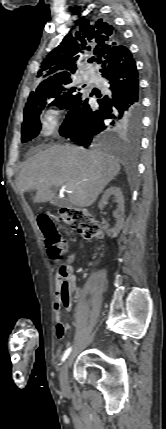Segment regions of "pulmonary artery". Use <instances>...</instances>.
<instances>
[{
	"label": "pulmonary artery",
	"mask_w": 166,
	"mask_h": 429,
	"mask_svg": "<svg viewBox=\"0 0 166 429\" xmlns=\"http://www.w3.org/2000/svg\"><path fill=\"white\" fill-rule=\"evenodd\" d=\"M94 77V73L93 72H88V78L92 79Z\"/></svg>",
	"instance_id": "e3ab8cb5"
}]
</instances>
